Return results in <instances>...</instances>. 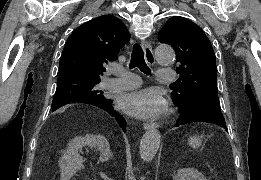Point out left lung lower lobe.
<instances>
[{"label": "left lung lower lobe", "mask_w": 261, "mask_h": 180, "mask_svg": "<svg viewBox=\"0 0 261 180\" xmlns=\"http://www.w3.org/2000/svg\"><path fill=\"white\" fill-rule=\"evenodd\" d=\"M175 105L178 106V110L180 112L179 119L175 124L176 127L187 123L206 122L216 124L224 129H227L225 119L220 111V108L209 104L199 103L196 100L183 105Z\"/></svg>", "instance_id": "0a47b994"}]
</instances>
